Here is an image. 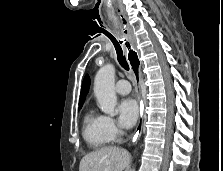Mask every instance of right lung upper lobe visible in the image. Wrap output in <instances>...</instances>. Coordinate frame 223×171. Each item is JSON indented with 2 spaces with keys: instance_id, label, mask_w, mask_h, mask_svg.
<instances>
[{
  "instance_id": "cb5924a9",
  "label": "right lung upper lobe",
  "mask_w": 223,
  "mask_h": 171,
  "mask_svg": "<svg viewBox=\"0 0 223 171\" xmlns=\"http://www.w3.org/2000/svg\"><path fill=\"white\" fill-rule=\"evenodd\" d=\"M89 87H90V77L86 75L84 77L83 84H82V89H81L80 99H79V106L83 105L86 95L89 91Z\"/></svg>"
}]
</instances>
